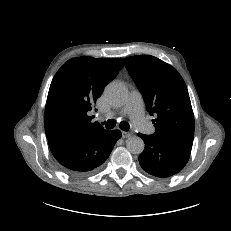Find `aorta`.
<instances>
[{"mask_svg":"<svg viewBox=\"0 0 231 231\" xmlns=\"http://www.w3.org/2000/svg\"><path fill=\"white\" fill-rule=\"evenodd\" d=\"M105 96L113 105H121L127 98L126 87L120 82H112L105 88ZM126 147L132 154H141L144 150V141L138 136L129 137L126 141Z\"/></svg>","mask_w":231,"mask_h":231,"instance_id":"1","label":"aorta"}]
</instances>
